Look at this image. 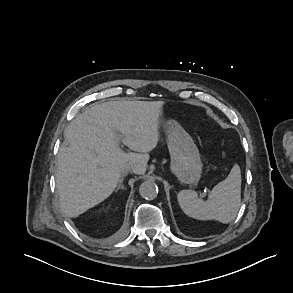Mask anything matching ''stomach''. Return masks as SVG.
I'll return each mask as SVG.
<instances>
[{
  "mask_svg": "<svg viewBox=\"0 0 293 293\" xmlns=\"http://www.w3.org/2000/svg\"><path fill=\"white\" fill-rule=\"evenodd\" d=\"M171 156L170 171L181 183L193 185L201 177L203 164L191 136L174 120L164 124Z\"/></svg>",
  "mask_w": 293,
  "mask_h": 293,
  "instance_id": "stomach-1",
  "label": "stomach"
}]
</instances>
